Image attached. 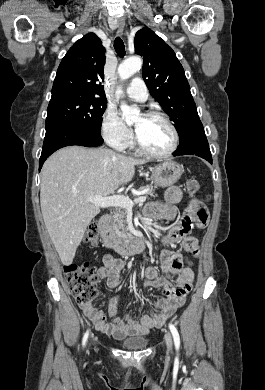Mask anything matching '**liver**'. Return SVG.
<instances>
[{"label":"liver","mask_w":265,"mask_h":390,"mask_svg":"<svg viewBox=\"0 0 265 390\" xmlns=\"http://www.w3.org/2000/svg\"><path fill=\"white\" fill-rule=\"evenodd\" d=\"M144 163L106 148L81 146L62 148L46 160L40 185L41 211L63 265L72 264L87 226L100 212L86 199L113 193L133 178L136 165Z\"/></svg>","instance_id":"obj_1"}]
</instances>
